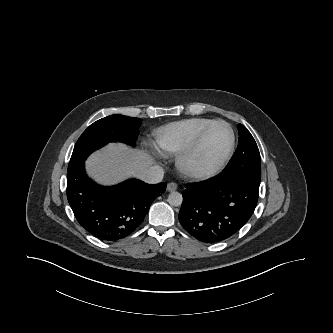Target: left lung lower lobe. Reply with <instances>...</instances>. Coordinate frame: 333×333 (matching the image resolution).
<instances>
[{
    "label": "left lung lower lobe",
    "mask_w": 333,
    "mask_h": 333,
    "mask_svg": "<svg viewBox=\"0 0 333 333\" xmlns=\"http://www.w3.org/2000/svg\"><path fill=\"white\" fill-rule=\"evenodd\" d=\"M179 212L182 227L204 243L223 241L237 233L253 214L259 186L236 175L186 185Z\"/></svg>",
    "instance_id": "left-lung-lower-lobe-1"
}]
</instances>
